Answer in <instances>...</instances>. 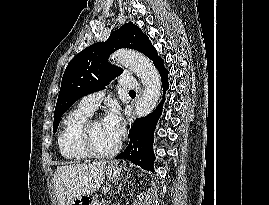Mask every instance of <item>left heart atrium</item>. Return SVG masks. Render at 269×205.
<instances>
[{"instance_id":"39dd6f15","label":"left heart atrium","mask_w":269,"mask_h":205,"mask_svg":"<svg viewBox=\"0 0 269 205\" xmlns=\"http://www.w3.org/2000/svg\"><path fill=\"white\" fill-rule=\"evenodd\" d=\"M102 121L111 136L119 141L124 132L123 120L119 107L115 104L111 105Z\"/></svg>"}]
</instances>
